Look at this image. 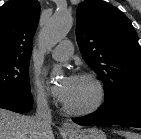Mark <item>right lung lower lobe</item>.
Masks as SVG:
<instances>
[{
  "label": "right lung lower lobe",
  "instance_id": "obj_1",
  "mask_svg": "<svg viewBox=\"0 0 141 139\" xmlns=\"http://www.w3.org/2000/svg\"><path fill=\"white\" fill-rule=\"evenodd\" d=\"M32 104L33 98L30 91L8 94L0 93V108L25 113L31 110Z\"/></svg>",
  "mask_w": 141,
  "mask_h": 139
}]
</instances>
